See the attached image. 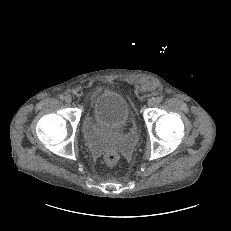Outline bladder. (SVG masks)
<instances>
[{
    "mask_svg": "<svg viewBox=\"0 0 231 231\" xmlns=\"http://www.w3.org/2000/svg\"><path fill=\"white\" fill-rule=\"evenodd\" d=\"M90 115L96 123L120 130L129 120L130 108L123 94L106 90L95 98Z\"/></svg>",
    "mask_w": 231,
    "mask_h": 231,
    "instance_id": "1",
    "label": "bladder"
}]
</instances>
